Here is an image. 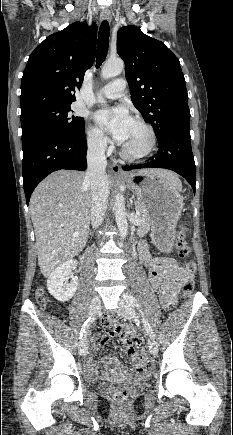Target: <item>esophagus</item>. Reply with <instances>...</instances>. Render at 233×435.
Returning a JSON list of instances; mask_svg holds the SVG:
<instances>
[{
  "label": "esophagus",
  "instance_id": "1",
  "mask_svg": "<svg viewBox=\"0 0 233 435\" xmlns=\"http://www.w3.org/2000/svg\"><path fill=\"white\" fill-rule=\"evenodd\" d=\"M111 18H112V15H111L110 10L108 8L103 9L101 12V20H106V21L110 22ZM111 169L115 175H119V176L125 175L121 169V166L116 162L112 163Z\"/></svg>",
  "mask_w": 233,
  "mask_h": 435
}]
</instances>
